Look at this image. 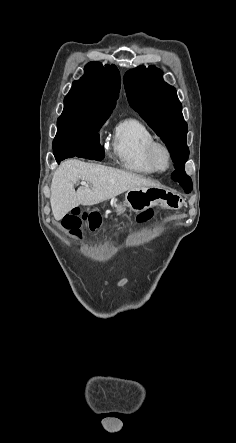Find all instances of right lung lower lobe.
Wrapping results in <instances>:
<instances>
[{"label": "right lung lower lobe", "mask_w": 236, "mask_h": 443, "mask_svg": "<svg viewBox=\"0 0 236 443\" xmlns=\"http://www.w3.org/2000/svg\"><path fill=\"white\" fill-rule=\"evenodd\" d=\"M54 156L56 161L60 163V161L64 160L65 158L74 156L101 161L105 154L101 145H82L63 148L54 152Z\"/></svg>", "instance_id": "right-lung-lower-lobe-1"}]
</instances>
